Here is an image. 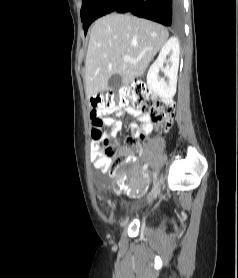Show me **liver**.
Instances as JSON below:
<instances>
[{"label": "liver", "instance_id": "obj_1", "mask_svg": "<svg viewBox=\"0 0 238 278\" xmlns=\"http://www.w3.org/2000/svg\"><path fill=\"white\" fill-rule=\"evenodd\" d=\"M168 37L162 25L129 14L98 19L91 29L85 61L87 98L107 90L112 75H120L126 86L141 77ZM125 55L135 62L124 61Z\"/></svg>", "mask_w": 238, "mask_h": 278}]
</instances>
